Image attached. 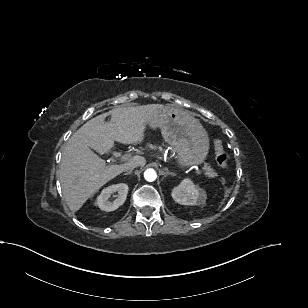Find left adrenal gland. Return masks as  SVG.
I'll return each instance as SVG.
<instances>
[{
	"mask_svg": "<svg viewBox=\"0 0 308 308\" xmlns=\"http://www.w3.org/2000/svg\"><path fill=\"white\" fill-rule=\"evenodd\" d=\"M163 170H164V171H163L164 177H166V176H168V175L175 176V173L170 172L167 168H164Z\"/></svg>",
	"mask_w": 308,
	"mask_h": 308,
	"instance_id": "left-adrenal-gland-1",
	"label": "left adrenal gland"
}]
</instances>
